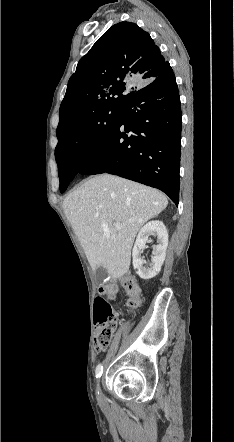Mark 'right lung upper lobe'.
Segmentation results:
<instances>
[{"instance_id":"1","label":"right lung upper lobe","mask_w":234,"mask_h":442,"mask_svg":"<svg viewBox=\"0 0 234 442\" xmlns=\"http://www.w3.org/2000/svg\"><path fill=\"white\" fill-rule=\"evenodd\" d=\"M168 64L148 32L131 22L113 25L80 59L69 79L57 138L95 111L122 106Z\"/></svg>"}]
</instances>
